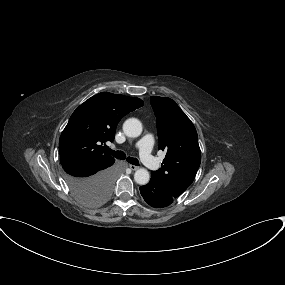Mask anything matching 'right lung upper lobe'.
Segmentation results:
<instances>
[{
    "mask_svg": "<svg viewBox=\"0 0 285 285\" xmlns=\"http://www.w3.org/2000/svg\"><path fill=\"white\" fill-rule=\"evenodd\" d=\"M139 98L102 92L89 98L71 115L59 139L60 162L64 168L82 162L115 161L101 144L113 141L123 116L142 107Z\"/></svg>",
    "mask_w": 285,
    "mask_h": 285,
    "instance_id": "obj_1",
    "label": "right lung upper lobe"
}]
</instances>
